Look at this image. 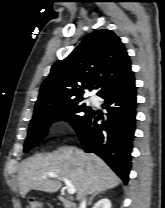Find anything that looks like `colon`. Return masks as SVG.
Returning a JSON list of instances; mask_svg holds the SVG:
<instances>
[{
	"label": "colon",
	"mask_w": 165,
	"mask_h": 208,
	"mask_svg": "<svg viewBox=\"0 0 165 208\" xmlns=\"http://www.w3.org/2000/svg\"><path fill=\"white\" fill-rule=\"evenodd\" d=\"M29 208H44V207L41 202L33 199L29 202Z\"/></svg>",
	"instance_id": "5ec220e1"
}]
</instances>
